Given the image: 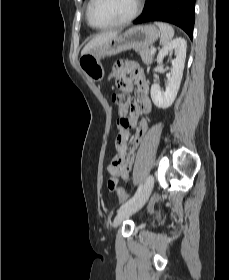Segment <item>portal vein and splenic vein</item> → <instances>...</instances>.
<instances>
[{"label":"portal vein and splenic vein","mask_w":229,"mask_h":280,"mask_svg":"<svg viewBox=\"0 0 229 280\" xmlns=\"http://www.w3.org/2000/svg\"><path fill=\"white\" fill-rule=\"evenodd\" d=\"M150 52H151V53H155V52H156V49H155V48H151V49H150Z\"/></svg>","instance_id":"1"}]
</instances>
